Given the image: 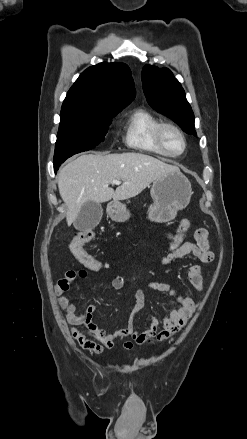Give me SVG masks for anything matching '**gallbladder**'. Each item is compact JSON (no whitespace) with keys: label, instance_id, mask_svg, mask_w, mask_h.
Listing matches in <instances>:
<instances>
[{"label":"gallbladder","instance_id":"gallbladder-1","mask_svg":"<svg viewBox=\"0 0 247 439\" xmlns=\"http://www.w3.org/2000/svg\"><path fill=\"white\" fill-rule=\"evenodd\" d=\"M103 215V208L100 203L87 201L74 221L77 230H91L95 228Z\"/></svg>","mask_w":247,"mask_h":439}]
</instances>
